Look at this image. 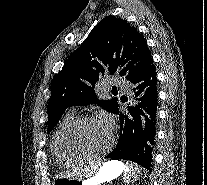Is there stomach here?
<instances>
[{
    "instance_id": "0dacf381",
    "label": "stomach",
    "mask_w": 207,
    "mask_h": 185,
    "mask_svg": "<svg viewBox=\"0 0 207 185\" xmlns=\"http://www.w3.org/2000/svg\"><path fill=\"white\" fill-rule=\"evenodd\" d=\"M124 172V163L111 160L105 162L99 172L92 178L80 181L69 177H58L53 181L52 185H100L115 180Z\"/></svg>"
}]
</instances>
